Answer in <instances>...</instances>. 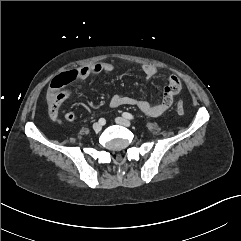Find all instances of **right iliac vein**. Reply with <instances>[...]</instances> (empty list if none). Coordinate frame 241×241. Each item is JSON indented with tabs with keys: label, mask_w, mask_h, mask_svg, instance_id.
I'll list each match as a JSON object with an SVG mask.
<instances>
[{
	"label": "right iliac vein",
	"mask_w": 241,
	"mask_h": 241,
	"mask_svg": "<svg viewBox=\"0 0 241 241\" xmlns=\"http://www.w3.org/2000/svg\"><path fill=\"white\" fill-rule=\"evenodd\" d=\"M101 129H102V124L101 123H94L93 124V130L95 132H99V131H101Z\"/></svg>",
	"instance_id": "right-iliac-vein-1"
}]
</instances>
